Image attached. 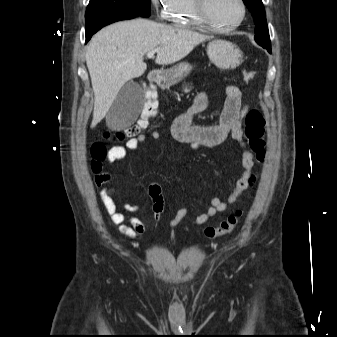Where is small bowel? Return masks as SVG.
I'll list each match as a JSON object with an SVG mask.
<instances>
[{"label":"small bowel","mask_w":337,"mask_h":337,"mask_svg":"<svg viewBox=\"0 0 337 337\" xmlns=\"http://www.w3.org/2000/svg\"><path fill=\"white\" fill-rule=\"evenodd\" d=\"M225 94L226 99L220 112L218 124L206 126L193 124V117L206 111L209 107V96L206 93H202L193 99L189 108L175 120L171 128L172 136L176 140L190 143L194 146H213L231 139L237 141L242 148L241 164L244 171L236 181L235 187L226 201L219 197L210 198V206L192 221L194 226L206 224L216 214L225 212L230 204L239 201L248 189L251 169L254 166V154L246 146L242 131V119L248 110V106L244 102L242 92L237 86H227ZM147 139L157 141L160 139V134L157 131H152L148 136L139 134L129 138L124 145L110 147L107 152V161L113 163L125 158L128 150H136ZM111 180L112 174L110 172L99 173L94 179L95 186L100 189V200L105 207L106 213L109 215L111 222L119 227L121 234L131 238H139L146 232V225L138 217L127 216L119 210L115 200L116 188L109 186ZM148 192L153 202L152 220L154 224H157L164 210L161 186L158 183H152L148 188ZM124 209L127 212H135L137 206L125 204ZM187 212L186 207L179 208L175 216L170 220L169 227L175 228L178 226L186 217Z\"/></svg>","instance_id":"1"}]
</instances>
